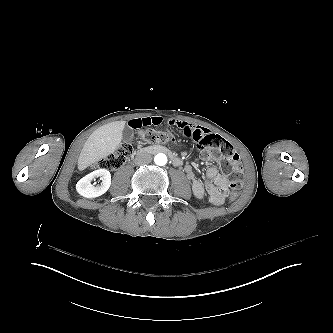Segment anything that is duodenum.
I'll return each mask as SVG.
<instances>
[{
    "label": "duodenum",
    "instance_id": "1",
    "mask_svg": "<svg viewBox=\"0 0 333 333\" xmlns=\"http://www.w3.org/2000/svg\"><path fill=\"white\" fill-rule=\"evenodd\" d=\"M163 153L166 154L172 161L175 166H181L182 161L179 157L173 154L168 148L161 145H153L148 147H143L136 152V155H144V154H157Z\"/></svg>",
    "mask_w": 333,
    "mask_h": 333
}]
</instances>
